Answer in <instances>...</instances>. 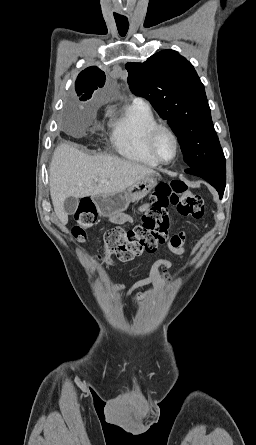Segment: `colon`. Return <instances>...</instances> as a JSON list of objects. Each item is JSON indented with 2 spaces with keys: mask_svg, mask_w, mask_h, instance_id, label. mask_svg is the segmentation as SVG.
<instances>
[{
  "mask_svg": "<svg viewBox=\"0 0 256 445\" xmlns=\"http://www.w3.org/2000/svg\"><path fill=\"white\" fill-rule=\"evenodd\" d=\"M173 205L180 215L201 219L204 215V199L190 192L178 180L160 183L151 195L150 206L144 211L141 222L131 229L113 228L104 234V259L112 265L114 258L126 262L144 252H154L169 240L170 218L168 207ZM76 224L73 237L78 242L87 239L86 230L97 224L93 203L82 201L75 212Z\"/></svg>",
  "mask_w": 256,
  "mask_h": 445,
  "instance_id": "1",
  "label": "colon"
}]
</instances>
